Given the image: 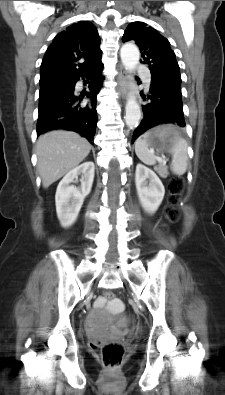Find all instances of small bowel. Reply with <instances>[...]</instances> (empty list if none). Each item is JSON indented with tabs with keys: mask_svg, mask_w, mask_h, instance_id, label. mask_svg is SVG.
<instances>
[{
	"mask_svg": "<svg viewBox=\"0 0 225 395\" xmlns=\"http://www.w3.org/2000/svg\"><path fill=\"white\" fill-rule=\"evenodd\" d=\"M95 309L102 313L104 310L108 311L110 315H126L127 310H126V304L122 301L121 296H114L113 300H110L109 304H107V298L106 296H101L97 298L95 301ZM103 322L108 323L109 319L107 316H104ZM125 321L121 322V325L124 324Z\"/></svg>",
	"mask_w": 225,
	"mask_h": 395,
	"instance_id": "c3829d8e",
	"label": "small bowel"
}]
</instances>
